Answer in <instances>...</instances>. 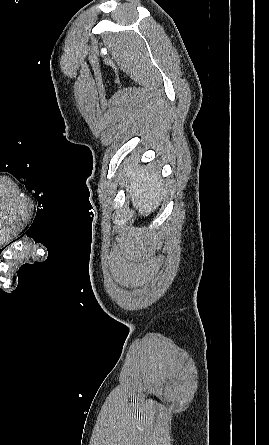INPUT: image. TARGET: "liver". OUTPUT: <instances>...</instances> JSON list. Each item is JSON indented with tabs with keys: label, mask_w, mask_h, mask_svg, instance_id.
<instances>
[{
	"label": "liver",
	"mask_w": 269,
	"mask_h": 445,
	"mask_svg": "<svg viewBox=\"0 0 269 445\" xmlns=\"http://www.w3.org/2000/svg\"><path fill=\"white\" fill-rule=\"evenodd\" d=\"M122 180L128 186V197L139 214L148 216L158 208L165 193L158 172L149 173L147 167L129 164L124 168Z\"/></svg>",
	"instance_id": "liver-1"
}]
</instances>
